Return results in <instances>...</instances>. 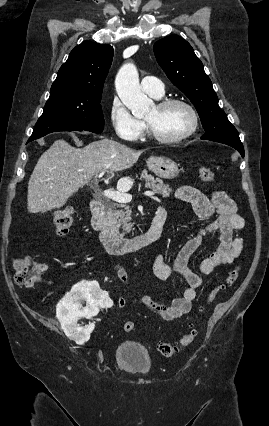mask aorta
<instances>
[{"label":"aorta","instance_id":"1","mask_svg":"<svg viewBox=\"0 0 269 426\" xmlns=\"http://www.w3.org/2000/svg\"><path fill=\"white\" fill-rule=\"evenodd\" d=\"M115 84L121 101L136 118H142L150 111L153 101L142 92L139 75L133 64H125L120 68Z\"/></svg>","mask_w":269,"mask_h":426}]
</instances>
